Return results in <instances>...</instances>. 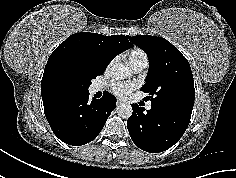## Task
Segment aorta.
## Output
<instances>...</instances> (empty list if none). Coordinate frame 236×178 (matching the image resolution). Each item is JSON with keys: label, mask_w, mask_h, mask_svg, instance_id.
<instances>
[{"label": "aorta", "mask_w": 236, "mask_h": 178, "mask_svg": "<svg viewBox=\"0 0 236 178\" xmlns=\"http://www.w3.org/2000/svg\"><path fill=\"white\" fill-rule=\"evenodd\" d=\"M112 74L116 80H122L125 78H129L131 76V72L127 66L124 64H116L112 67ZM116 112L119 117L123 119H128L133 112L132 106L127 103H121L117 105Z\"/></svg>", "instance_id": "aorta-1"}]
</instances>
